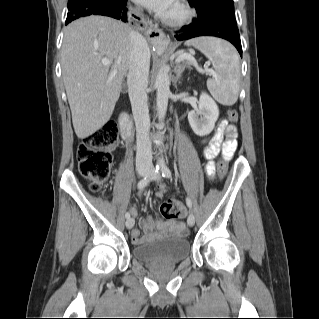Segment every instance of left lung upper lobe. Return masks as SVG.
<instances>
[{"label": "left lung upper lobe", "mask_w": 319, "mask_h": 319, "mask_svg": "<svg viewBox=\"0 0 319 319\" xmlns=\"http://www.w3.org/2000/svg\"><path fill=\"white\" fill-rule=\"evenodd\" d=\"M198 17L193 21L221 19L236 24L233 0H188Z\"/></svg>", "instance_id": "5c2ea615"}]
</instances>
